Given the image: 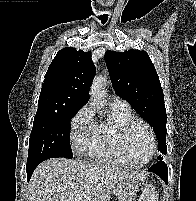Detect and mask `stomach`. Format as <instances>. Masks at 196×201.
Returning a JSON list of instances; mask_svg holds the SVG:
<instances>
[{
    "label": "stomach",
    "mask_w": 196,
    "mask_h": 201,
    "mask_svg": "<svg viewBox=\"0 0 196 201\" xmlns=\"http://www.w3.org/2000/svg\"><path fill=\"white\" fill-rule=\"evenodd\" d=\"M138 189L137 181L127 179L117 184L114 191L118 196V201H135Z\"/></svg>",
    "instance_id": "stomach-1"
}]
</instances>
